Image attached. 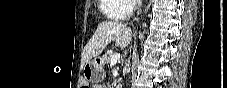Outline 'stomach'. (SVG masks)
<instances>
[{
  "label": "stomach",
  "mask_w": 227,
  "mask_h": 88,
  "mask_svg": "<svg viewBox=\"0 0 227 88\" xmlns=\"http://www.w3.org/2000/svg\"><path fill=\"white\" fill-rule=\"evenodd\" d=\"M104 64L102 57H96L94 60L87 62L84 65V77L89 82H99L104 78Z\"/></svg>",
  "instance_id": "0dacf381"
}]
</instances>
